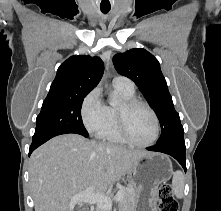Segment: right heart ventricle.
<instances>
[{"mask_svg":"<svg viewBox=\"0 0 221 211\" xmlns=\"http://www.w3.org/2000/svg\"><path fill=\"white\" fill-rule=\"evenodd\" d=\"M116 90L124 100L135 98L134 91H127L119 88H116ZM107 107H108L109 122L106 129L99 135V137L112 143L126 144L127 142L122 138L119 132L118 122H117V108L113 106H107Z\"/></svg>","mask_w":221,"mask_h":211,"instance_id":"e07e8e85","label":"right heart ventricle"}]
</instances>
